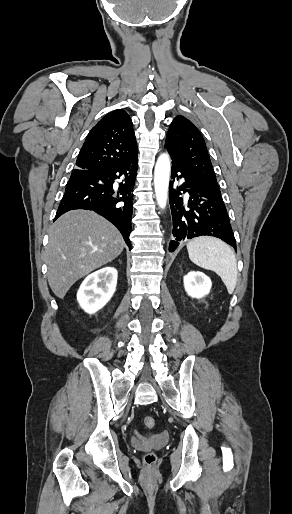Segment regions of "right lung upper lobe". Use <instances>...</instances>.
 <instances>
[{"instance_id": "1", "label": "right lung upper lobe", "mask_w": 292, "mask_h": 514, "mask_svg": "<svg viewBox=\"0 0 292 514\" xmlns=\"http://www.w3.org/2000/svg\"><path fill=\"white\" fill-rule=\"evenodd\" d=\"M137 157L132 121L123 109L103 117L89 132L74 171L111 168Z\"/></svg>"}]
</instances>
